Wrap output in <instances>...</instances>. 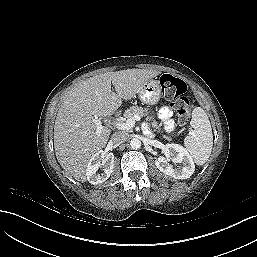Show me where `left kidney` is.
I'll use <instances>...</instances> for the list:
<instances>
[{"label":"left kidney","mask_w":257,"mask_h":257,"mask_svg":"<svg viewBox=\"0 0 257 257\" xmlns=\"http://www.w3.org/2000/svg\"><path fill=\"white\" fill-rule=\"evenodd\" d=\"M165 156H159L155 160L156 167L164 174L175 179H187L195 171L193 159L189 153L179 144H166L164 148ZM172 161L182 166L173 167Z\"/></svg>","instance_id":"1"}]
</instances>
